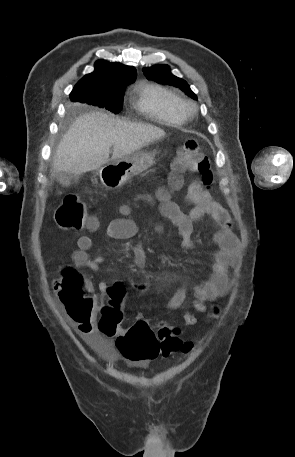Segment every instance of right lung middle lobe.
I'll list each match as a JSON object with an SVG mask.
<instances>
[{"label":"right lung middle lobe","instance_id":"dd1d6c3e","mask_svg":"<svg viewBox=\"0 0 295 457\" xmlns=\"http://www.w3.org/2000/svg\"><path fill=\"white\" fill-rule=\"evenodd\" d=\"M126 87L116 90H93L85 87H74L70 94L73 102H82L105 108L115 114L123 107Z\"/></svg>","mask_w":295,"mask_h":457}]
</instances>
